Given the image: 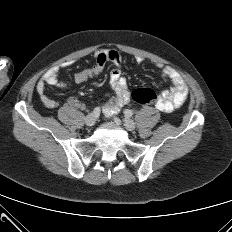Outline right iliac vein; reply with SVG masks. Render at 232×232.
Segmentation results:
<instances>
[{
	"label": "right iliac vein",
	"instance_id": "1",
	"mask_svg": "<svg viewBox=\"0 0 232 232\" xmlns=\"http://www.w3.org/2000/svg\"><path fill=\"white\" fill-rule=\"evenodd\" d=\"M96 122V117L93 114H89L85 118V124L89 127L93 126Z\"/></svg>",
	"mask_w": 232,
	"mask_h": 232
}]
</instances>
